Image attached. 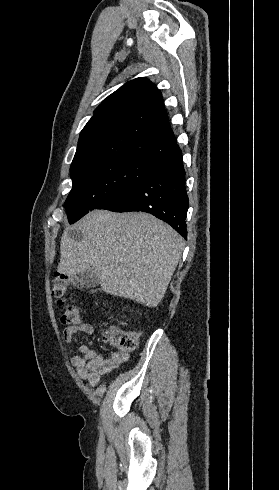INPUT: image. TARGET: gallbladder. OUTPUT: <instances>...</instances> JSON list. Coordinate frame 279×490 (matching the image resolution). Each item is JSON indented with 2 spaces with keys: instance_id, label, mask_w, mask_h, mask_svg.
I'll list each match as a JSON object with an SVG mask.
<instances>
[{
  "instance_id": "obj_1",
  "label": "gallbladder",
  "mask_w": 279,
  "mask_h": 490,
  "mask_svg": "<svg viewBox=\"0 0 279 490\" xmlns=\"http://www.w3.org/2000/svg\"><path fill=\"white\" fill-rule=\"evenodd\" d=\"M77 280L81 286H86V288H96L97 284H99V278L94 270H84V272L79 274Z\"/></svg>"
}]
</instances>
